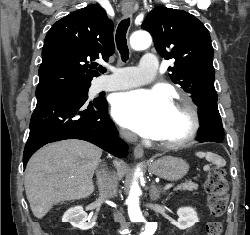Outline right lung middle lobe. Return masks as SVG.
I'll list each match as a JSON object with an SVG mask.
<instances>
[{"instance_id": "right-lung-middle-lobe-1", "label": "right lung middle lobe", "mask_w": 250, "mask_h": 235, "mask_svg": "<svg viewBox=\"0 0 250 235\" xmlns=\"http://www.w3.org/2000/svg\"><path fill=\"white\" fill-rule=\"evenodd\" d=\"M84 89H85V91H87V92H88L89 87H85Z\"/></svg>"}]
</instances>
